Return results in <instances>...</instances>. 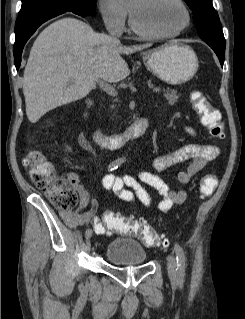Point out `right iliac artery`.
Returning a JSON list of instances; mask_svg holds the SVG:
<instances>
[{
	"mask_svg": "<svg viewBox=\"0 0 245 319\" xmlns=\"http://www.w3.org/2000/svg\"><path fill=\"white\" fill-rule=\"evenodd\" d=\"M124 161H125L124 158H120V159H117V160L113 161V162L109 165L108 170H109V171H113V170L117 169ZM91 232H92V231H91L90 229H88V230L86 231V233H91Z\"/></svg>",
	"mask_w": 245,
	"mask_h": 319,
	"instance_id": "1",
	"label": "right iliac artery"
}]
</instances>
